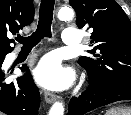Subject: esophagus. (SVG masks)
Segmentation results:
<instances>
[{
	"instance_id": "obj_1",
	"label": "esophagus",
	"mask_w": 131,
	"mask_h": 115,
	"mask_svg": "<svg viewBox=\"0 0 131 115\" xmlns=\"http://www.w3.org/2000/svg\"><path fill=\"white\" fill-rule=\"evenodd\" d=\"M44 98H45V101L47 102V103H53L56 99H57V97H56V95L55 94H53V93H51V92H48V91H45V93H44Z\"/></svg>"
}]
</instances>
